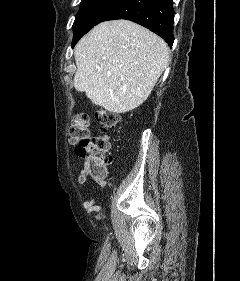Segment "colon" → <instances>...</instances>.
Listing matches in <instances>:
<instances>
[{
    "label": "colon",
    "instance_id": "colon-1",
    "mask_svg": "<svg viewBox=\"0 0 240 281\" xmlns=\"http://www.w3.org/2000/svg\"><path fill=\"white\" fill-rule=\"evenodd\" d=\"M104 133L92 136L88 130L89 116L86 113L77 114L69 128L70 143L75 153L87 162L86 170L90 174L101 176L107 171V166L112 161L109 153L110 140L107 132L114 130L119 123L116 113L99 110L95 114Z\"/></svg>",
    "mask_w": 240,
    "mask_h": 281
}]
</instances>
